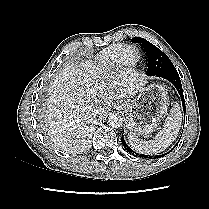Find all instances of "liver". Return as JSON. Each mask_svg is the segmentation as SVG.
<instances>
[{"label": "liver", "mask_w": 209, "mask_h": 209, "mask_svg": "<svg viewBox=\"0 0 209 209\" xmlns=\"http://www.w3.org/2000/svg\"><path fill=\"white\" fill-rule=\"evenodd\" d=\"M136 71H110L86 62L68 66L51 83L45 123L57 149L71 154L90 146L91 123L103 117L113 100L131 99L145 85Z\"/></svg>", "instance_id": "liver-1"}]
</instances>
